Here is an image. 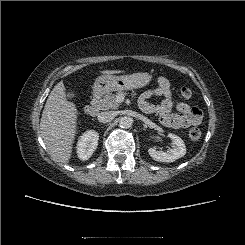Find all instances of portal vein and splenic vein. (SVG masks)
<instances>
[{"instance_id":"obj_1","label":"portal vein and splenic vein","mask_w":245,"mask_h":245,"mask_svg":"<svg viewBox=\"0 0 245 245\" xmlns=\"http://www.w3.org/2000/svg\"><path fill=\"white\" fill-rule=\"evenodd\" d=\"M124 95H118L117 96V98H116V101L118 102V103H121V102H123L124 101Z\"/></svg>"}]
</instances>
